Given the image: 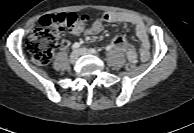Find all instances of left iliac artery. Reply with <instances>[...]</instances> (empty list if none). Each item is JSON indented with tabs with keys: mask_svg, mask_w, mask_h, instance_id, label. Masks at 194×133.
<instances>
[{
	"mask_svg": "<svg viewBox=\"0 0 194 133\" xmlns=\"http://www.w3.org/2000/svg\"><path fill=\"white\" fill-rule=\"evenodd\" d=\"M90 51L93 53V54H96L97 51L95 49H90Z\"/></svg>",
	"mask_w": 194,
	"mask_h": 133,
	"instance_id": "left-iliac-artery-1",
	"label": "left iliac artery"
}]
</instances>
